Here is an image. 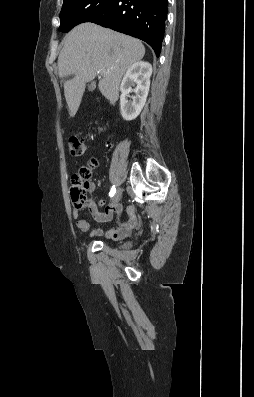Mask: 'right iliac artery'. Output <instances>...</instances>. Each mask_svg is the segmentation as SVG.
Masks as SVG:
<instances>
[{"label": "right iliac artery", "instance_id": "right-iliac-artery-1", "mask_svg": "<svg viewBox=\"0 0 254 397\" xmlns=\"http://www.w3.org/2000/svg\"><path fill=\"white\" fill-rule=\"evenodd\" d=\"M115 192H116V188H115V186H112L111 191L109 193L110 197H113Z\"/></svg>", "mask_w": 254, "mask_h": 397}]
</instances>
